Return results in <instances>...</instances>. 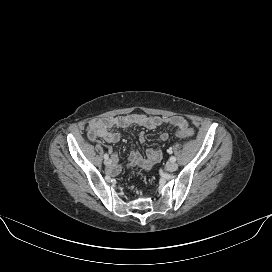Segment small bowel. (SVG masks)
<instances>
[{
  "label": "small bowel",
  "mask_w": 272,
  "mask_h": 272,
  "mask_svg": "<svg viewBox=\"0 0 272 272\" xmlns=\"http://www.w3.org/2000/svg\"><path fill=\"white\" fill-rule=\"evenodd\" d=\"M166 124L178 128H187L188 122L182 116H147L143 114H127L114 117H106L100 119H93L88 125V138L91 141H96L98 138L104 139L108 143H116L120 140L121 134L113 132L111 128H127L132 125L143 126L147 129H155L158 126ZM140 141L145 140V135H140ZM161 141L168 139V134L162 132L159 135ZM112 157L115 158L114 152L111 150ZM162 157L161 150L150 148L146 151V156H141L137 151L132 150L128 157L127 166L140 167L141 169L148 170L156 165ZM121 170L120 166L114 165L111 168L113 174Z\"/></svg>",
  "instance_id": "c3829d8e"
}]
</instances>
